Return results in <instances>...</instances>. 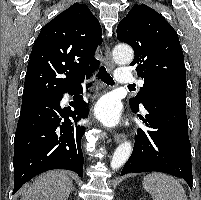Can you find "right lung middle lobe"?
Here are the masks:
<instances>
[{"label": "right lung middle lobe", "mask_w": 201, "mask_h": 200, "mask_svg": "<svg viewBox=\"0 0 201 200\" xmlns=\"http://www.w3.org/2000/svg\"><path fill=\"white\" fill-rule=\"evenodd\" d=\"M25 101H29V100H26V99H22V102H25Z\"/></svg>", "instance_id": "dd1d6c3e"}]
</instances>
